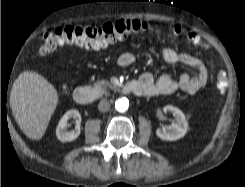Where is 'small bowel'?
Segmentation results:
<instances>
[{"instance_id":"obj_1","label":"small bowel","mask_w":245,"mask_h":187,"mask_svg":"<svg viewBox=\"0 0 245 187\" xmlns=\"http://www.w3.org/2000/svg\"><path fill=\"white\" fill-rule=\"evenodd\" d=\"M161 55L164 61L169 64L182 63L194 68L197 71V75L191 76L188 73H184L178 79H173L168 75L155 79L152 74L144 73L138 78V81L144 87V96L168 95L177 90L195 95L207 86L209 71L198 58L179 52L171 47L162 48ZM133 62L134 56L130 52H123L118 57V64L122 67H129Z\"/></svg>"}]
</instances>
